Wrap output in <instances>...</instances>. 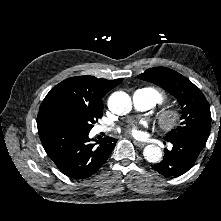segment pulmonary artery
Instances as JSON below:
<instances>
[{
  "mask_svg": "<svg viewBox=\"0 0 221 221\" xmlns=\"http://www.w3.org/2000/svg\"><path fill=\"white\" fill-rule=\"evenodd\" d=\"M132 102L138 110H148L155 106L157 99L153 90L149 87L136 90L132 95ZM110 128L105 126H97L96 133L107 132Z\"/></svg>",
  "mask_w": 221,
  "mask_h": 221,
  "instance_id": "1",
  "label": "pulmonary artery"
}]
</instances>
